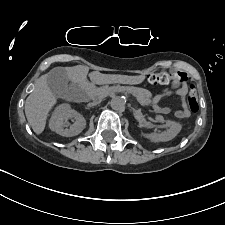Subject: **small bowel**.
Here are the masks:
<instances>
[{
	"label": "small bowel",
	"mask_w": 225,
	"mask_h": 225,
	"mask_svg": "<svg viewBox=\"0 0 225 225\" xmlns=\"http://www.w3.org/2000/svg\"><path fill=\"white\" fill-rule=\"evenodd\" d=\"M188 92H189V87L186 84L179 88L173 87L171 89L164 90L160 94L156 95L153 99L155 111L161 114L169 113L170 108L167 106L159 105L158 102L162 97L175 94L180 98V101H181V108L175 112V116L179 119L187 118L189 116V111L186 107L185 99Z\"/></svg>",
	"instance_id": "1"
}]
</instances>
